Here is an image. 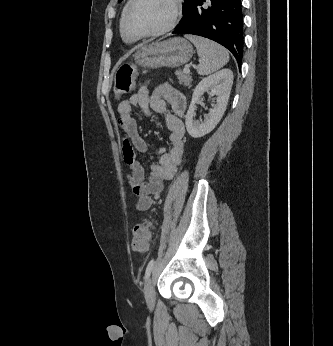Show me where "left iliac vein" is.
I'll list each match as a JSON object with an SVG mask.
<instances>
[{
	"mask_svg": "<svg viewBox=\"0 0 333 346\" xmlns=\"http://www.w3.org/2000/svg\"><path fill=\"white\" fill-rule=\"evenodd\" d=\"M144 296L149 309H153L155 306V288L152 282V279L149 278L146 281L144 287Z\"/></svg>",
	"mask_w": 333,
	"mask_h": 346,
	"instance_id": "left-iliac-vein-1",
	"label": "left iliac vein"
}]
</instances>
